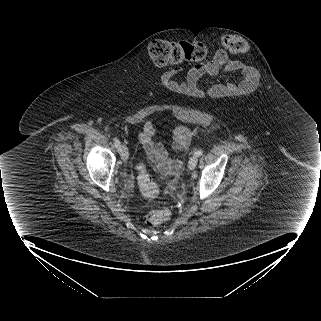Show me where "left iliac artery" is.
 Segmentation results:
<instances>
[{"label": "left iliac artery", "mask_w": 321, "mask_h": 321, "mask_svg": "<svg viewBox=\"0 0 321 321\" xmlns=\"http://www.w3.org/2000/svg\"><path fill=\"white\" fill-rule=\"evenodd\" d=\"M195 154L197 156H201L203 154V150H198V151L195 152Z\"/></svg>", "instance_id": "44dca946"}]
</instances>
